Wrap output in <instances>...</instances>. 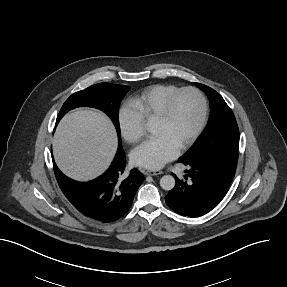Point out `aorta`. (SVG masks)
Instances as JSON below:
<instances>
[{
  "label": "aorta",
  "instance_id": "762f6f07",
  "mask_svg": "<svg viewBox=\"0 0 287 287\" xmlns=\"http://www.w3.org/2000/svg\"><path fill=\"white\" fill-rule=\"evenodd\" d=\"M160 186L162 189L169 191L175 186V179L171 175H165L160 179Z\"/></svg>",
  "mask_w": 287,
  "mask_h": 287
}]
</instances>
